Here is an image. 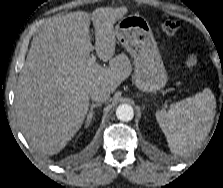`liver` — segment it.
<instances>
[{"mask_svg": "<svg viewBox=\"0 0 223 188\" xmlns=\"http://www.w3.org/2000/svg\"><path fill=\"white\" fill-rule=\"evenodd\" d=\"M127 12L126 7L70 12L47 21L33 38L19 74L15 103L19 127L37 151L60 152L81 128L91 91L105 87L113 92L128 77L127 63L112 58L114 24ZM90 20L95 47L89 36ZM94 48L109 67L89 64Z\"/></svg>", "mask_w": 223, "mask_h": 188, "instance_id": "obj_1", "label": "liver"}]
</instances>
